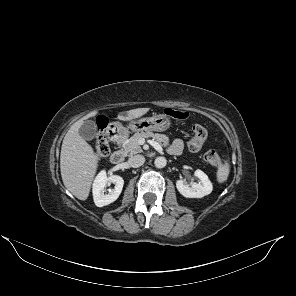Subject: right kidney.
Wrapping results in <instances>:
<instances>
[{
  "instance_id": "obj_1",
  "label": "right kidney",
  "mask_w": 296,
  "mask_h": 296,
  "mask_svg": "<svg viewBox=\"0 0 296 296\" xmlns=\"http://www.w3.org/2000/svg\"><path fill=\"white\" fill-rule=\"evenodd\" d=\"M108 183H114V189L110 190L108 194L104 193V188ZM124 185V180L121 176L110 175L107 177L106 172L101 171L94 180L93 183V199L95 205L98 207H103L109 205L117 200L121 194Z\"/></svg>"
}]
</instances>
